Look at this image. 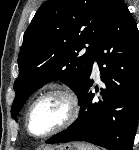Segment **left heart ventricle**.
I'll list each match as a JSON object with an SVG mask.
<instances>
[{
    "label": "left heart ventricle",
    "instance_id": "b2bd125f",
    "mask_svg": "<svg viewBox=\"0 0 139 150\" xmlns=\"http://www.w3.org/2000/svg\"><path fill=\"white\" fill-rule=\"evenodd\" d=\"M68 113V104L62 96H47L34 107L30 116V129L33 134H45L59 126Z\"/></svg>",
    "mask_w": 139,
    "mask_h": 150
}]
</instances>
